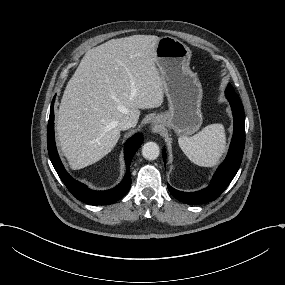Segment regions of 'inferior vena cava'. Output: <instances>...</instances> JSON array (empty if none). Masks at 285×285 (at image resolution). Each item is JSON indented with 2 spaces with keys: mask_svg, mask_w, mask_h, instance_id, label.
<instances>
[{
  "mask_svg": "<svg viewBox=\"0 0 285 285\" xmlns=\"http://www.w3.org/2000/svg\"><path fill=\"white\" fill-rule=\"evenodd\" d=\"M135 124L134 122L132 121V119L129 118V116H125L123 117L120 122L118 123V128L120 130H127L131 127H134Z\"/></svg>",
  "mask_w": 285,
  "mask_h": 285,
  "instance_id": "obj_1",
  "label": "inferior vena cava"
}]
</instances>
